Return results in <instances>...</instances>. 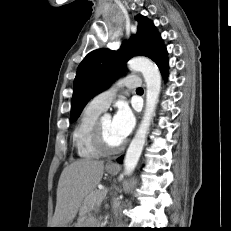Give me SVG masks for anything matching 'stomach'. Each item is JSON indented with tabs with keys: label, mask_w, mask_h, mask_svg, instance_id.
Segmentation results:
<instances>
[{
	"label": "stomach",
	"mask_w": 231,
	"mask_h": 231,
	"mask_svg": "<svg viewBox=\"0 0 231 231\" xmlns=\"http://www.w3.org/2000/svg\"><path fill=\"white\" fill-rule=\"evenodd\" d=\"M106 171L111 175H116L119 172V167L106 166ZM86 225H87V221L83 220V221H79L78 224L76 225V227L61 226V227H57V228H62V229H55V230L66 231V230H71V229H64V228H89V227H86Z\"/></svg>",
	"instance_id": "obj_1"
}]
</instances>
